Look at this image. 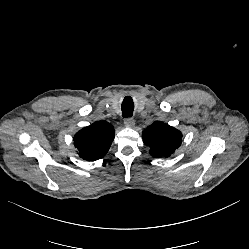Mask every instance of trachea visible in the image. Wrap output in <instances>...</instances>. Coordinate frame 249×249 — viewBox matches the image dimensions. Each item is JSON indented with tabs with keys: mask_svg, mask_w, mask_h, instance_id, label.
Masks as SVG:
<instances>
[{
	"mask_svg": "<svg viewBox=\"0 0 249 249\" xmlns=\"http://www.w3.org/2000/svg\"><path fill=\"white\" fill-rule=\"evenodd\" d=\"M134 104L130 97H126L122 103V117L131 118L133 116Z\"/></svg>",
	"mask_w": 249,
	"mask_h": 249,
	"instance_id": "obj_1",
	"label": "trachea"
}]
</instances>
